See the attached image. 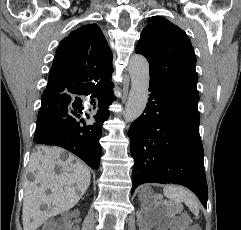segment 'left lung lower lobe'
Returning a JSON list of instances; mask_svg holds the SVG:
<instances>
[{"label":"left lung lower lobe","instance_id":"0a47b994","mask_svg":"<svg viewBox=\"0 0 241 230\" xmlns=\"http://www.w3.org/2000/svg\"><path fill=\"white\" fill-rule=\"evenodd\" d=\"M142 115L130 126L135 160L132 192L142 183H176L192 190L207 206L204 152L199 135V94L150 79Z\"/></svg>","mask_w":241,"mask_h":230}]
</instances>
